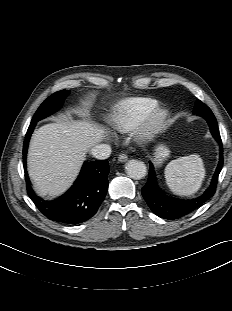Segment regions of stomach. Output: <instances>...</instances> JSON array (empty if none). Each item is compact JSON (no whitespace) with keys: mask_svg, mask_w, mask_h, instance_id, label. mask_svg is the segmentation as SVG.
<instances>
[{"mask_svg":"<svg viewBox=\"0 0 232 311\" xmlns=\"http://www.w3.org/2000/svg\"><path fill=\"white\" fill-rule=\"evenodd\" d=\"M170 154V150L165 145H159L154 152V162L156 165H161Z\"/></svg>","mask_w":232,"mask_h":311,"instance_id":"stomach-1","label":"stomach"}]
</instances>
